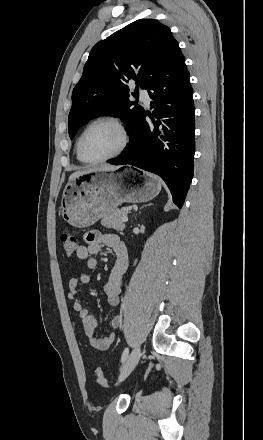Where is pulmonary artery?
<instances>
[{
  "label": "pulmonary artery",
  "mask_w": 263,
  "mask_h": 440,
  "mask_svg": "<svg viewBox=\"0 0 263 440\" xmlns=\"http://www.w3.org/2000/svg\"><path fill=\"white\" fill-rule=\"evenodd\" d=\"M140 99L144 104H146V105L150 104V100H151L150 95L146 89L141 90Z\"/></svg>",
  "instance_id": "obj_1"
}]
</instances>
